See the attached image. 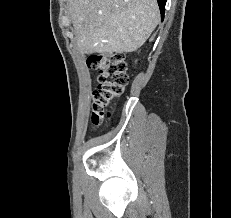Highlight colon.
Masks as SVG:
<instances>
[{"label": "colon", "instance_id": "obj_1", "mask_svg": "<svg viewBox=\"0 0 231 218\" xmlns=\"http://www.w3.org/2000/svg\"><path fill=\"white\" fill-rule=\"evenodd\" d=\"M87 64L99 72L91 112V123L99 126L109 116L111 102L121 95L127 85L126 62L122 54L110 53L92 54L88 57Z\"/></svg>", "mask_w": 231, "mask_h": 218}]
</instances>
